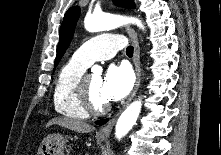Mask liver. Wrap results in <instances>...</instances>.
<instances>
[{
	"mask_svg": "<svg viewBox=\"0 0 221 155\" xmlns=\"http://www.w3.org/2000/svg\"><path fill=\"white\" fill-rule=\"evenodd\" d=\"M52 125H59V126H62L64 128L70 129V130L78 132V133H88V132L95 130L94 126H92L86 122L72 119V118H67V117L52 118L47 123L46 128L50 127Z\"/></svg>",
	"mask_w": 221,
	"mask_h": 155,
	"instance_id": "obj_1",
	"label": "liver"
}]
</instances>
